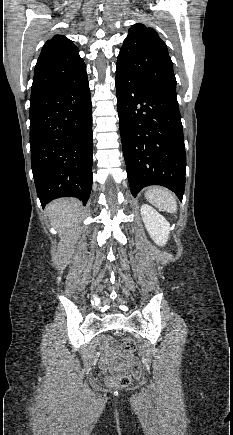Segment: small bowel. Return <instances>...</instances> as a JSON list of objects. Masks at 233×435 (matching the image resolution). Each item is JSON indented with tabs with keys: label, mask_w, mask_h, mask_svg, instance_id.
<instances>
[{
	"label": "small bowel",
	"mask_w": 233,
	"mask_h": 435,
	"mask_svg": "<svg viewBox=\"0 0 233 435\" xmlns=\"http://www.w3.org/2000/svg\"><path fill=\"white\" fill-rule=\"evenodd\" d=\"M101 353H102V359L100 360L98 364V369L102 373L115 371L118 369L122 370H139V363L138 360L135 357H130L127 359V362H121L120 360H117L113 358V349L109 345L108 340L105 339L103 341V344L101 346Z\"/></svg>",
	"instance_id": "1"
}]
</instances>
